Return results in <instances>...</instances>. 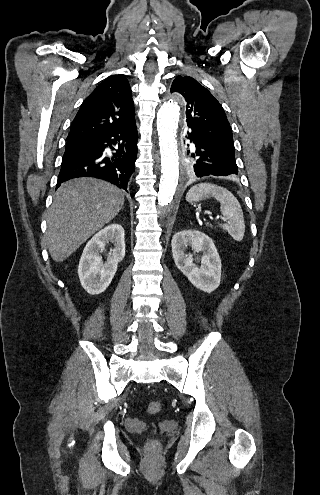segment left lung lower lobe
<instances>
[{
	"instance_id": "left-lung-lower-lobe-1",
	"label": "left lung lower lobe",
	"mask_w": 320,
	"mask_h": 495,
	"mask_svg": "<svg viewBox=\"0 0 320 495\" xmlns=\"http://www.w3.org/2000/svg\"><path fill=\"white\" fill-rule=\"evenodd\" d=\"M188 139L194 144V151L199 157L195 162L196 177H215L238 174L234 153H229L211 142L205 141L190 127Z\"/></svg>"
}]
</instances>
